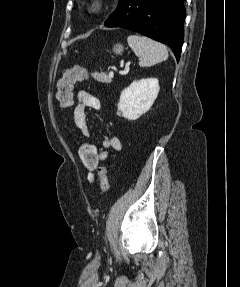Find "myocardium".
<instances>
[{
  "instance_id": "myocardium-1",
  "label": "myocardium",
  "mask_w": 240,
  "mask_h": 287,
  "mask_svg": "<svg viewBox=\"0 0 240 287\" xmlns=\"http://www.w3.org/2000/svg\"><path fill=\"white\" fill-rule=\"evenodd\" d=\"M105 7L104 0H90L87 4V12L90 15H98L100 14Z\"/></svg>"
}]
</instances>
